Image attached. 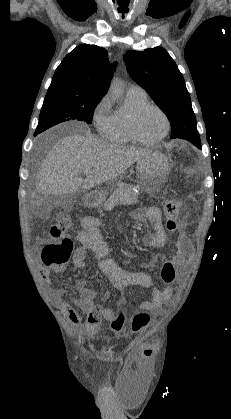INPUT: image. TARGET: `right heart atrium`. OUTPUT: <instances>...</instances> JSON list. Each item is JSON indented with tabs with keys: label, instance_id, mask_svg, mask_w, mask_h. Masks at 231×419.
Returning a JSON list of instances; mask_svg holds the SVG:
<instances>
[{
	"label": "right heart atrium",
	"instance_id": "1",
	"mask_svg": "<svg viewBox=\"0 0 231 419\" xmlns=\"http://www.w3.org/2000/svg\"><path fill=\"white\" fill-rule=\"evenodd\" d=\"M93 122L99 134L112 139L116 132V112L109 95L103 96L93 110Z\"/></svg>",
	"mask_w": 231,
	"mask_h": 419
}]
</instances>
